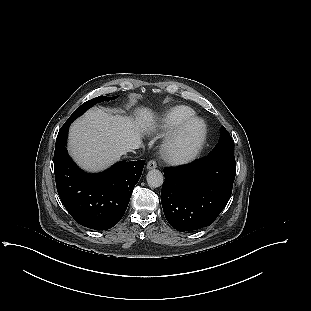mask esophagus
<instances>
[{
	"label": "esophagus",
	"mask_w": 311,
	"mask_h": 311,
	"mask_svg": "<svg viewBox=\"0 0 311 311\" xmlns=\"http://www.w3.org/2000/svg\"><path fill=\"white\" fill-rule=\"evenodd\" d=\"M157 167V163L154 160H150L147 163V169L151 170V169H155Z\"/></svg>",
	"instance_id": "esophagus-1"
}]
</instances>
